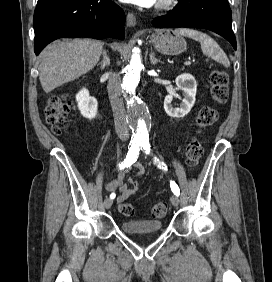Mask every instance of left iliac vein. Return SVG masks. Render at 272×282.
I'll use <instances>...</instances> for the list:
<instances>
[{
    "mask_svg": "<svg viewBox=\"0 0 272 282\" xmlns=\"http://www.w3.org/2000/svg\"><path fill=\"white\" fill-rule=\"evenodd\" d=\"M170 200L173 206L177 207L179 205L180 200L178 196L172 195Z\"/></svg>",
    "mask_w": 272,
    "mask_h": 282,
    "instance_id": "4c4485c4",
    "label": "left iliac vein"
}]
</instances>
